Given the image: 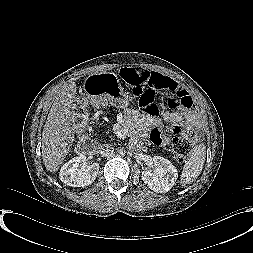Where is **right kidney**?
I'll return each mask as SVG.
<instances>
[{
	"label": "right kidney",
	"instance_id": "1",
	"mask_svg": "<svg viewBox=\"0 0 253 253\" xmlns=\"http://www.w3.org/2000/svg\"><path fill=\"white\" fill-rule=\"evenodd\" d=\"M99 172V164L88 165L85 155H79L65 163L60 170V180L73 187H84L94 182Z\"/></svg>",
	"mask_w": 253,
	"mask_h": 253
}]
</instances>
